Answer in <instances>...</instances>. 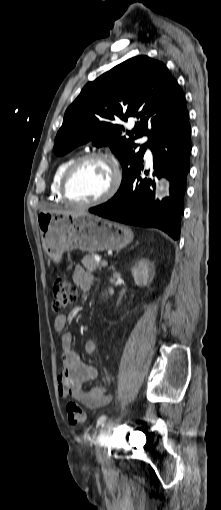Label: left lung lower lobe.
Returning a JSON list of instances; mask_svg holds the SVG:
<instances>
[{"mask_svg": "<svg viewBox=\"0 0 221 510\" xmlns=\"http://www.w3.org/2000/svg\"><path fill=\"white\" fill-rule=\"evenodd\" d=\"M190 136L191 128L187 120L157 136L149 144L153 154L152 175L166 177L170 181L169 197L155 201L154 179L140 176L142 160L125 186L111 200L90 208L89 212L125 224L159 228L173 239H179L183 199L190 171Z\"/></svg>", "mask_w": 221, "mask_h": 510, "instance_id": "obj_1", "label": "left lung lower lobe"}]
</instances>
